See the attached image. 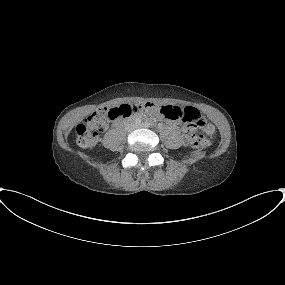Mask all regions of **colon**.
I'll return each instance as SVG.
<instances>
[{"instance_id":"obj_1","label":"colon","mask_w":285,"mask_h":285,"mask_svg":"<svg viewBox=\"0 0 285 285\" xmlns=\"http://www.w3.org/2000/svg\"><path fill=\"white\" fill-rule=\"evenodd\" d=\"M140 110L158 113L167 119L182 121L187 125L195 124L197 128L204 127L208 134L214 133V127L211 124H206L200 112L195 108H181L176 105H158L153 102H143L123 104L110 109H95L76 127L78 145L82 148L95 146L100 135L108 128L111 121L130 118ZM185 136L188 144L194 148H202L208 144V141L201 134L189 127L186 129Z\"/></svg>"}]
</instances>
